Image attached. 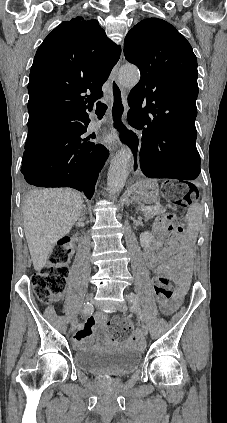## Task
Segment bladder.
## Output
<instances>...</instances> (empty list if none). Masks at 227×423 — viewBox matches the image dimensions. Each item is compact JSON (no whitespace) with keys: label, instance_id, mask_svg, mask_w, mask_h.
Returning a JSON list of instances; mask_svg holds the SVG:
<instances>
[{"label":"bladder","instance_id":"31cf9c89","mask_svg":"<svg viewBox=\"0 0 227 423\" xmlns=\"http://www.w3.org/2000/svg\"><path fill=\"white\" fill-rule=\"evenodd\" d=\"M74 364L85 374L122 378L137 370L142 362L137 349L117 351L83 350L73 354Z\"/></svg>","mask_w":227,"mask_h":423}]
</instances>
